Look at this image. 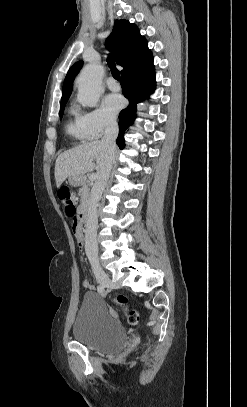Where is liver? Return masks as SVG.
<instances>
[{"label": "liver", "instance_id": "1", "mask_svg": "<svg viewBox=\"0 0 247 407\" xmlns=\"http://www.w3.org/2000/svg\"><path fill=\"white\" fill-rule=\"evenodd\" d=\"M109 158V152L101 141H93L61 153L55 163V181L60 186L67 177L84 176L96 169L101 174ZM96 161V164L93 161Z\"/></svg>", "mask_w": 247, "mask_h": 407}]
</instances>
